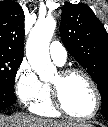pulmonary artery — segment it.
<instances>
[{
	"label": "pulmonary artery",
	"instance_id": "1",
	"mask_svg": "<svg viewBox=\"0 0 108 127\" xmlns=\"http://www.w3.org/2000/svg\"><path fill=\"white\" fill-rule=\"evenodd\" d=\"M49 52L52 60L57 65L65 64L67 59V51L60 42L58 41L52 42L49 48Z\"/></svg>",
	"mask_w": 108,
	"mask_h": 127
}]
</instances>
